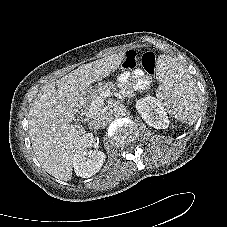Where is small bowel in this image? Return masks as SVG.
I'll return each mask as SVG.
<instances>
[{"mask_svg": "<svg viewBox=\"0 0 227 227\" xmlns=\"http://www.w3.org/2000/svg\"><path fill=\"white\" fill-rule=\"evenodd\" d=\"M119 82L127 90L145 89L151 84V79L137 69L132 74L123 73L119 77Z\"/></svg>", "mask_w": 227, "mask_h": 227, "instance_id": "small-bowel-1", "label": "small bowel"}]
</instances>
